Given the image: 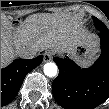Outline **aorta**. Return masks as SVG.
Returning <instances> with one entry per match:
<instances>
[{"label": "aorta", "instance_id": "1", "mask_svg": "<svg viewBox=\"0 0 109 109\" xmlns=\"http://www.w3.org/2000/svg\"><path fill=\"white\" fill-rule=\"evenodd\" d=\"M58 73L57 65L53 62H48L44 65V74L48 77H54Z\"/></svg>", "mask_w": 109, "mask_h": 109}]
</instances>
